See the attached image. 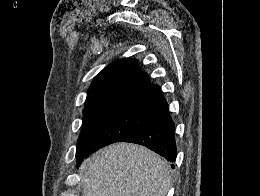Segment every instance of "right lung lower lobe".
I'll use <instances>...</instances> for the list:
<instances>
[{
  "instance_id": "1",
  "label": "right lung lower lobe",
  "mask_w": 260,
  "mask_h": 196,
  "mask_svg": "<svg viewBox=\"0 0 260 196\" xmlns=\"http://www.w3.org/2000/svg\"><path fill=\"white\" fill-rule=\"evenodd\" d=\"M147 112L156 116L154 120L123 137L119 142H131L143 145L170 162L176 160V142L174 122L168 112V104L162 97L144 107ZM94 149H77L76 158H83L94 152ZM174 168V165H171Z\"/></svg>"
}]
</instances>
